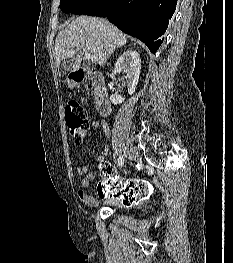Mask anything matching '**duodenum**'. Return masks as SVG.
Listing matches in <instances>:
<instances>
[{"mask_svg":"<svg viewBox=\"0 0 233 263\" xmlns=\"http://www.w3.org/2000/svg\"><path fill=\"white\" fill-rule=\"evenodd\" d=\"M72 81L76 84L90 81L94 87L95 109L100 116H108L111 112V104L105 80L99 72L80 68L73 72Z\"/></svg>","mask_w":233,"mask_h":263,"instance_id":"duodenum-1","label":"duodenum"}]
</instances>
